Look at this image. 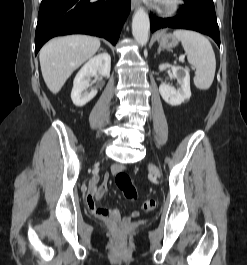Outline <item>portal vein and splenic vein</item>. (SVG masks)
Instances as JSON below:
<instances>
[{
    "label": "portal vein and splenic vein",
    "mask_w": 247,
    "mask_h": 265,
    "mask_svg": "<svg viewBox=\"0 0 247 265\" xmlns=\"http://www.w3.org/2000/svg\"><path fill=\"white\" fill-rule=\"evenodd\" d=\"M184 58H185V56H184V55H181V56L179 57V60H180V61H183Z\"/></svg>",
    "instance_id": "obj_1"
}]
</instances>
